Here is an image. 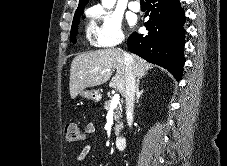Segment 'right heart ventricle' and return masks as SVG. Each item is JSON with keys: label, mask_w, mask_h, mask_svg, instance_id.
<instances>
[{"label": "right heart ventricle", "mask_w": 227, "mask_h": 166, "mask_svg": "<svg viewBox=\"0 0 227 166\" xmlns=\"http://www.w3.org/2000/svg\"><path fill=\"white\" fill-rule=\"evenodd\" d=\"M92 33H93L92 27L89 25V26L87 27V36H88V37H91Z\"/></svg>", "instance_id": "right-heart-ventricle-1"}]
</instances>
